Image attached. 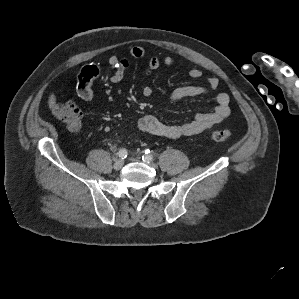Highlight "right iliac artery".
Returning a JSON list of instances; mask_svg holds the SVG:
<instances>
[{"mask_svg": "<svg viewBox=\"0 0 299 299\" xmlns=\"http://www.w3.org/2000/svg\"><path fill=\"white\" fill-rule=\"evenodd\" d=\"M127 155H128V152L126 149H120L118 152V156L121 159H125L127 157Z\"/></svg>", "mask_w": 299, "mask_h": 299, "instance_id": "82829eb1", "label": "right iliac artery"}]
</instances>
